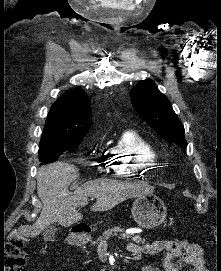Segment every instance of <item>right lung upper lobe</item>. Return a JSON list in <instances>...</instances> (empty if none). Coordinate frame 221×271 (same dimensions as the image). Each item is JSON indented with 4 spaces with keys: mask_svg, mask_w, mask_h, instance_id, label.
Listing matches in <instances>:
<instances>
[{
    "mask_svg": "<svg viewBox=\"0 0 221 271\" xmlns=\"http://www.w3.org/2000/svg\"><path fill=\"white\" fill-rule=\"evenodd\" d=\"M91 122V104L87 94L81 89H74L64 93L52 105L42 136H85Z\"/></svg>",
    "mask_w": 221,
    "mask_h": 271,
    "instance_id": "1",
    "label": "right lung upper lobe"
}]
</instances>
